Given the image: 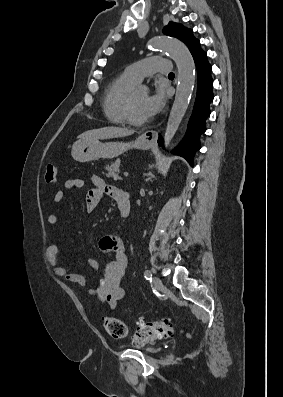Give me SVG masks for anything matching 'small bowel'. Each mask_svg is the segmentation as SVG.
I'll list each match as a JSON object with an SVG mask.
<instances>
[{
  "mask_svg": "<svg viewBox=\"0 0 283 397\" xmlns=\"http://www.w3.org/2000/svg\"><path fill=\"white\" fill-rule=\"evenodd\" d=\"M91 184L92 187L86 195V210L88 213H93L96 210L104 194L111 197L118 206L122 199L127 196L120 188L106 184L98 175L91 177ZM64 185L66 189H78L85 185V181L81 178L68 179ZM63 200L64 192L58 190L54 195V202L59 204ZM47 221L50 225H57L59 218L56 214H50ZM99 248L102 252L112 254L113 258L104 265L102 278L88 290V293L97 296L104 306L113 310L119 301L127 297V290L121 286V280L125 274L128 259L124 244L117 236L108 235L102 237L99 241ZM59 253L60 248L56 244H51L46 248V260L54 274L66 282L85 287L86 279L83 275L69 272L66 267L58 263ZM87 264L93 269L99 268V263L95 259L88 258Z\"/></svg>",
  "mask_w": 283,
  "mask_h": 397,
  "instance_id": "1",
  "label": "small bowel"
}]
</instances>
